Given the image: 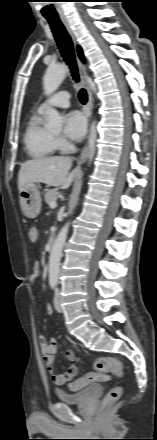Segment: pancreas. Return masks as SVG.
<instances>
[{
  "mask_svg": "<svg viewBox=\"0 0 157 440\" xmlns=\"http://www.w3.org/2000/svg\"><path fill=\"white\" fill-rule=\"evenodd\" d=\"M58 194L59 193L57 189L47 191L44 195L45 202L47 204H50V202L56 201V199L58 198Z\"/></svg>",
  "mask_w": 157,
  "mask_h": 440,
  "instance_id": "obj_1",
  "label": "pancreas"
}]
</instances>
